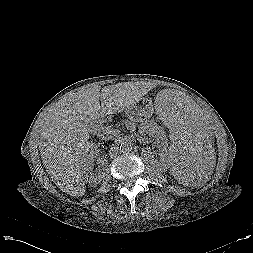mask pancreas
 Instances as JSON below:
<instances>
[{"instance_id": "obj_1", "label": "pancreas", "mask_w": 253, "mask_h": 253, "mask_svg": "<svg viewBox=\"0 0 253 253\" xmlns=\"http://www.w3.org/2000/svg\"><path fill=\"white\" fill-rule=\"evenodd\" d=\"M103 134L106 135V139H113L118 136V130H114L112 127L108 126L102 129Z\"/></svg>"}]
</instances>
